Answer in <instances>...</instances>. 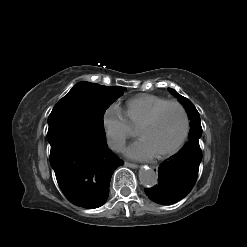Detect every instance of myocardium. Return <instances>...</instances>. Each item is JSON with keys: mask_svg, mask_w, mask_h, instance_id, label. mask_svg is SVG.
Segmentation results:
<instances>
[{"mask_svg": "<svg viewBox=\"0 0 247 247\" xmlns=\"http://www.w3.org/2000/svg\"><path fill=\"white\" fill-rule=\"evenodd\" d=\"M170 106H175L177 107L181 114H182V118H183V131L181 133V136L179 137L178 141L168 150L158 153L156 154V157L159 159H163L166 157H169L171 155H173L174 153H176L181 146L184 144L188 134H189V128H190V121H189V116L188 113L185 109V107L178 101H167L163 104H161L160 106H158L139 126L138 129L143 128V127H147L152 125L156 119L158 118V116L161 114V112L166 109L167 107Z\"/></svg>", "mask_w": 247, "mask_h": 247, "instance_id": "1", "label": "myocardium"}]
</instances>
